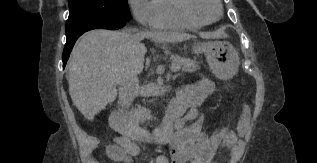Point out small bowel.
Returning <instances> with one entry per match:
<instances>
[{
  "instance_id": "1",
  "label": "small bowel",
  "mask_w": 317,
  "mask_h": 163,
  "mask_svg": "<svg viewBox=\"0 0 317 163\" xmlns=\"http://www.w3.org/2000/svg\"><path fill=\"white\" fill-rule=\"evenodd\" d=\"M214 89L212 82L202 80L185 86L177 93L169 110L177 115L176 132L170 140L171 160L158 156L154 163H213L220 145L234 146L236 135L233 132L223 130L220 134L208 136L201 131V105L212 95ZM184 112L186 115L180 118ZM248 119L249 110L245 107L239 121L241 129L246 126ZM191 121L193 123L187 125ZM139 151V146L134 142L124 146L118 154L108 148L110 158L117 163H132Z\"/></svg>"
}]
</instances>
